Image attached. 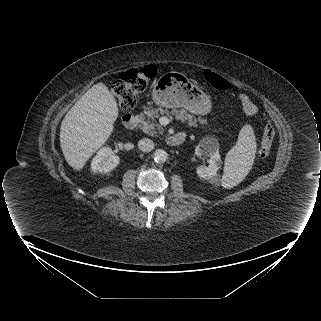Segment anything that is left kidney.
Masks as SVG:
<instances>
[{
    "label": "left kidney",
    "instance_id": "obj_1",
    "mask_svg": "<svg viewBox=\"0 0 321 321\" xmlns=\"http://www.w3.org/2000/svg\"><path fill=\"white\" fill-rule=\"evenodd\" d=\"M195 154L199 157H209V164L207 166H199L196 168L197 175L203 179H211L215 177L218 169L222 165L218 140L214 137H206L202 139L195 148Z\"/></svg>",
    "mask_w": 321,
    "mask_h": 321
}]
</instances>
